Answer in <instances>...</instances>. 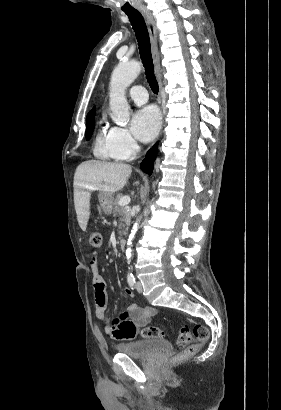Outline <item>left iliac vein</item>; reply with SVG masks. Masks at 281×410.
Segmentation results:
<instances>
[{"label": "left iliac vein", "instance_id": "left-iliac-vein-1", "mask_svg": "<svg viewBox=\"0 0 281 410\" xmlns=\"http://www.w3.org/2000/svg\"><path fill=\"white\" fill-rule=\"evenodd\" d=\"M136 289L139 293H141L143 291L142 284H141L140 281L137 282Z\"/></svg>", "mask_w": 281, "mask_h": 410}]
</instances>
